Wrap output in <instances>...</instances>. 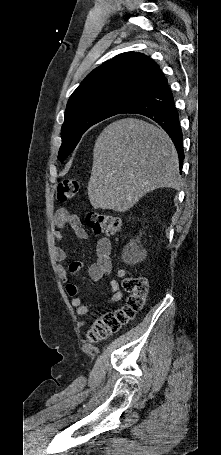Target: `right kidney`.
I'll list each match as a JSON object with an SVG mask.
<instances>
[{
  "label": "right kidney",
  "mask_w": 221,
  "mask_h": 455,
  "mask_svg": "<svg viewBox=\"0 0 221 455\" xmlns=\"http://www.w3.org/2000/svg\"><path fill=\"white\" fill-rule=\"evenodd\" d=\"M143 252L139 250L138 246L134 243L127 244L122 252L124 262L132 264L141 259Z\"/></svg>",
  "instance_id": "ca27d5eb"
}]
</instances>
